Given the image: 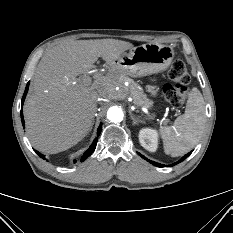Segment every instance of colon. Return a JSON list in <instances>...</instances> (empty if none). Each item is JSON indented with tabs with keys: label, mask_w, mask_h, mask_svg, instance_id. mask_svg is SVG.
I'll list each match as a JSON object with an SVG mask.
<instances>
[{
	"label": "colon",
	"mask_w": 233,
	"mask_h": 233,
	"mask_svg": "<svg viewBox=\"0 0 233 233\" xmlns=\"http://www.w3.org/2000/svg\"><path fill=\"white\" fill-rule=\"evenodd\" d=\"M168 77L173 83L164 85V96L170 104L180 106L186 99L190 83V75L185 64L180 60L175 61L168 71Z\"/></svg>",
	"instance_id": "obj_1"
}]
</instances>
